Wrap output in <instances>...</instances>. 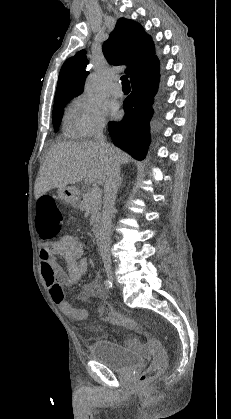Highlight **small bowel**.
<instances>
[{
  "mask_svg": "<svg viewBox=\"0 0 231 419\" xmlns=\"http://www.w3.org/2000/svg\"><path fill=\"white\" fill-rule=\"evenodd\" d=\"M83 253L82 241L71 235H65L57 241L43 244L39 252L41 273L52 300L62 312L77 320L86 319L89 315L88 311L73 307L66 300L63 288L74 286L86 274L89 261L83 257ZM58 256L64 259L66 269L58 263ZM82 298H106L99 279H94L86 286ZM128 342L136 343L137 340L130 338Z\"/></svg>",
  "mask_w": 231,
  "mask_h": 419,
  "instance_id": "obj_1",
  "label": "small bowel"
}]
</instances>
